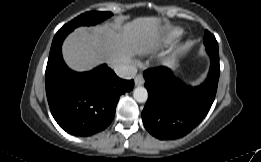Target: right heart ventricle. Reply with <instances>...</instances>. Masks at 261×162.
Segmentation results:
<instances>
[{
	"label": "right heart ventricle",
	"instance_id": "e07e8e85",
	"mask_svg": "<svg viewBox=\"0 0 261 162\" xmlns=\"http://www.w3.org/2000/svg\"><path fill=\"white\" fill-rule=\"evenodd\" d=\"M182 30L180 28H172L166 35L165 43L169 44L180 38Z\"/></svg>",
	"mask_w": 261,
	"mask_h": 162
}]
</instances>
